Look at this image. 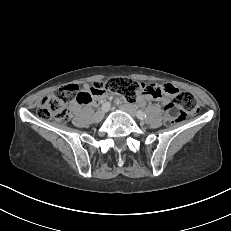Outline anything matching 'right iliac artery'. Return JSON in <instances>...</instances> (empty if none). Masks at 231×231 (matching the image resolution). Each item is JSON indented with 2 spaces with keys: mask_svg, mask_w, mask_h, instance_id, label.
<instances>
[{
  "mask_svg": "<svg viewBox=\"0 0 231 231\" xmlns=\"http://www.w3.org/2000/svg\"><path fill=\"white\" fill-rule=\"evenodd\" d=\"M111 107V104L109 102H106L102 105V110L108 111Z\"/></svg>",
  "mask_w": 231,
  "mask_h": 231,
  "instance_id": "82829eb1",
  "label": "right iliac artery"
}]
</instances>
